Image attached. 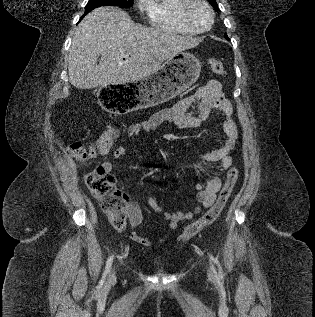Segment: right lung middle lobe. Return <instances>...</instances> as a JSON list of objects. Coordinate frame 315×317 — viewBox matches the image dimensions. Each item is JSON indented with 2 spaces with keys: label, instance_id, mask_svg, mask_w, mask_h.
I'll use <instances>...</instances> for the list:
<instances>
[{
  "label": "right lung middle lobe",
  "instance_id": "right-lung-middle-lobe-1",
  "mask_svg": "<svg viewBox=\"0 0 315 317\" xmlns=\"http://www.w3.org/2000/svg\"><path fill=\"white\" fill-rule=\"evenodd\" d=\"M133 0H89L85 6L84 16L89 13L94 8L100 6H122V7H131Z\"/></svg>",
  "mask_w": 315,
  "mask_h": 317
}]
</instances>
